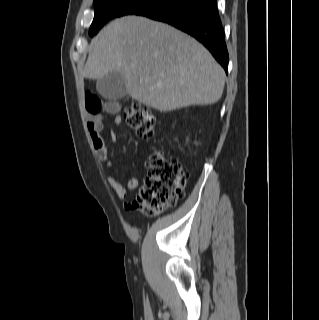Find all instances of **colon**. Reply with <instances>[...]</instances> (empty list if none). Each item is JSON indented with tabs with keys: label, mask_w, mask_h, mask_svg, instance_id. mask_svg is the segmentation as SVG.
Masks as SVG:
<instances>
[{
	"label": "colon",
	"mask_w": 319,
	"mask_h": 320,
	"mask_svg": "<svg viewBox=\"0 0 319 320\" xmlns=\"http://www.w3.org/2000/svg\"><path fill=\"white\" fill-rule=\"evenodd\" d=\"M127 124L142 138H151L156 125L152 111L133 102L123 109ZM146 177L132 209L155 216L174 205L184 195L185 167L173 156L152 154L145 163Z\"/></svg>",
	"instance_id": "5ec220e1"
}]
</instances>
